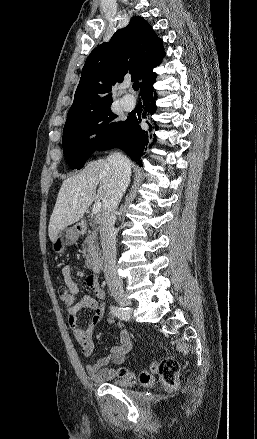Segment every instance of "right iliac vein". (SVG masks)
Segmentation results:
<instances>
[{"label":"right iliac vein","instance_id":"obj_1","mask_svg":"<svg viewBox=\"0 0 257 439\" xmlns=\"http://www.w3.org/2000/svg\"><path fill=\"white\" fill-rule=\"evenodd\" d=\"M113 296L117 303L121 305L122 307H128L131 304L130 299L128 298L127 294L123 291H115L113 292Z\"/></svg>","mask_w":257,"mask_h":439}]
</instances>
